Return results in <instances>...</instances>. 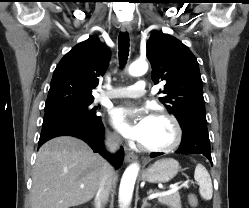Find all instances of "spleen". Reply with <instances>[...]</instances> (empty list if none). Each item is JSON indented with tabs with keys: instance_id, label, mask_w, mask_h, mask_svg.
Returning a JSON list of instances; mask_svg holds the SVG:
<instances>
[{
	"instance_id": "3e777b00",
	"label": "spleen",
	"mask_w": 249,
	"mask_h": 208,
	"mask_svg": "<svg viewBox=\"0 0 249 208\" xmlns=\"http://www.w3.org/2000/svg\"><path fill=\"white\" fill-rule=\"evenodd\" d=\"M194 178L199 185V193L205 200L212 199L213 187L211 177L202 164H197Z\"/></svg>"
}]
</instances>
